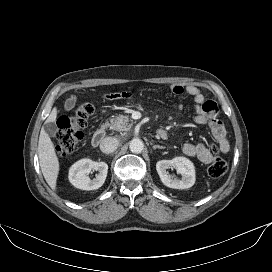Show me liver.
Masks as SVG:
<instances>
[{
	"label": "liver",
	"instance_id": "liver-1",
	"mask_svg": "<svg viewBox=\"0 0 272 272\" xmlns=\"http://www.w3.org/2000/svg\"><path fill=\"white\" fill-rule=\"evenodd\" d=\"M57 118V108L54 107L46 122H54ZM38 157L42 174L48 185L56 190L57 178L59 174V160L55 153L53 142L44 128L41 129L38 142Z\"/></svg>",
	"mask_w": 272,
	"mask_h": 272
}]
</instances>
